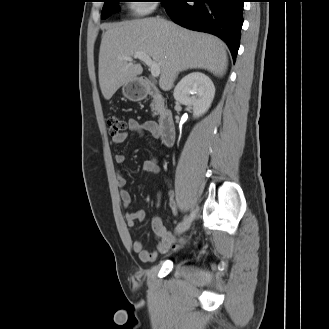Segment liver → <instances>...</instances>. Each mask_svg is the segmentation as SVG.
Instances as JSON below:
<instances>
[{"mask_svg": "<svg viewBox=\"0 0 329 329\" xmlns=\"http://www.w3.org/2000/svg\"><path fill=\"white\" fill-rule=\"evenodd\" d=\"M146 53L160 66L159 86L167 91L177 74L188 69H205L223 76L228 57L218 38L187 30L160 18H145L106 26L99 52V84L106 100L143 72L141 64L125 58Z\"/></svg>", "mask_w": 329, "mask_h": 329, "instance_id": "6515ba94", "label": "liver"}]
</instances>
